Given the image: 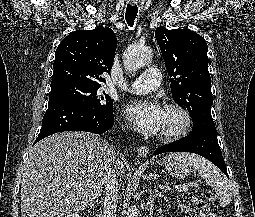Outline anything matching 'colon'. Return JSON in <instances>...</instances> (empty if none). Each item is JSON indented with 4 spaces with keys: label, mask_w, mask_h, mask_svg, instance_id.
Returning a JSON list of instances; mask_svg holds the SVG:
<instances>
[{
    "label": "colon",
    "mask_w": 255,
    "mask_h": 217,
    "mask_svg": "<svg viewBox=\"0 0 255 217\" xmlns=\"http://www.w3.org/2000/svg\"><path fill=\"white\" fill-rule=\"evenodd\" d=\"M179 205L191 217H217L203 199L192 193H182L179 196Z\"/></svg>",
    "instance_id": "5ec220e1"
}]
</instances>
